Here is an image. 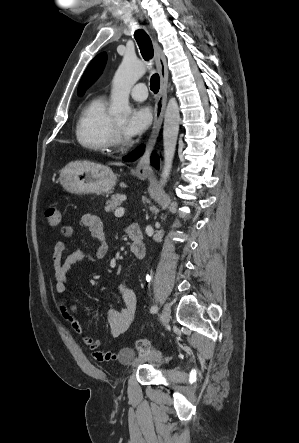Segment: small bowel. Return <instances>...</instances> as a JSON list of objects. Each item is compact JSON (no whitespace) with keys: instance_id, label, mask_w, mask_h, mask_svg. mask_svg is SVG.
<instances>
[{"instance_id":"c3829d8e","label":"small bowel","mask_w":299,"mask_h":443,"mask_svg":"<svg viewBox=\"0 0 299 443\" xmlns=\"http://www.w3.org/2000/svg\"><path fill=\"white\" fill-rule=\"evenodd\" d=\"M79 226L87 228L91 236L97 241V248L93 255L82 250L74 251L64 256L66 244L64 241L56 242L53 251V270L55 276V291L57 293L56 307L67 321L75 333L82 337L87 348L92 352V356L99 362L115 361L119 358L118 354L112 351H102V342L88 336L82 326L81 321L76 317L78 307L71 305L65 295L67 288V274L77 263L95 262L106 256L107 244L104 233V225L100 218L94 215L85 214L79 220ZM61 235L70 238L74 234V229L70 225H64ZM122 305L117 308L109 309L107 313V323L113 337H118L125 333L131 326L137 308V296L135 292L126 285H120L118 288Z\"/></svg>"}]
</instances>
